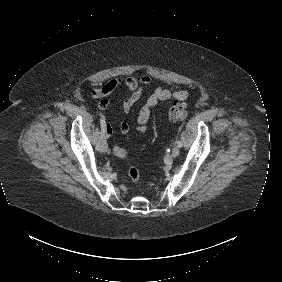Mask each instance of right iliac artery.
I'll return each mask as SVG.
<instances>
[{
  "mask_svg": "<svg viewBox=\"0 0 282 282\" xmlns=\"http://www.w3.org/2000/svg\"><path fill=\"white\" fill-rule=\"evenodd\" d=\"M100 124H101V140H102L103 138L106 137V134H105L106 120L104 116H101Z\"/></svg>",
  "mask_w": 282,
  "mask_h": 282,
  "instance_id": "right-iliac-artery-1",
  "label": "right iliac artery"
}]
</instances>
